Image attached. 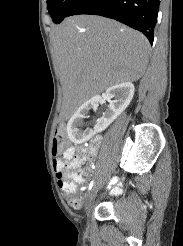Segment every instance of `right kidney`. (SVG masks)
<instances>
[{
  "instance_id": "1",
  "label": "right kidney",
  "mask_w": 183,
  "mask_h": 246,
  "mask_svg": "<svg viewBox=\"0 0 183 246\" xmlns=\"http://www.w3.org/2000/svg\"><path fill=\"white\" fill-rule=\"evenodd\" d=\"M134 85L131 82H124L109 87L103 98L109 101L108 110L103 117L96 123L93 131L81 130L83 119L89 110L101 101L100 96H95L83 103L67 124V133L70 140L74 143H82L88 140L93 134L105 130L130 104L134 95ZM114 98V100H111Z\"/></svg>"
}]
</instances>
